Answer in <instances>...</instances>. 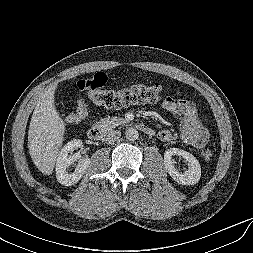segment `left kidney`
<instances>
[{"instance_id": "5707ae66", "label": "left kidney", "mask_w": 253, "mask_h": 253, "mask_svg": "<svg viewBox=\"0 0 253 253\" xmlns=\"http://www.w3.org/2000/svg\"><path fill=\"white\" fill-rule=\"evenodd\" d=\"M174 155L182 156L188 163V170L180 173L174 166ZM164 166L169 175L182 185H194L199 182L201 177V166L199 161L189 152L178 149L170 148L164 153Z\"/></svg>"}]
</instances>
